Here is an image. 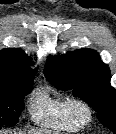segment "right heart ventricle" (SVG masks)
Here are the masks:
<instances>
[{
  "label": "right heart ventricle",
  "instance_id": "right-heart-ventricle-1",
  "mask_svg": "<svg viewBox=\"0 0 116 134\" xmlns=\"http://www.w3.org/2000/svg\"><path fill=\"white\" fill-rule=\"evenodd\" d=\"M66 99L47 87L37 90L32 98L30 115L37 124L58 131L76 132L80 126L67 113Z\"/></svg>",
  "mask_w": 116,
  "mask_h": 134
}]
</instances>
